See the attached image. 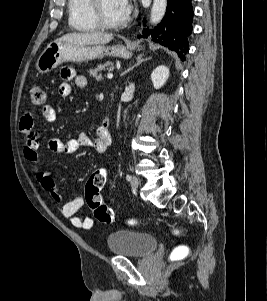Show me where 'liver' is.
I'll list each match as a JSON object with an SVG mask.
<instances>
[{
	"label": "liver",
	"mask_w": 267,
	"mask_h": 301,
	"mask_svg": "<svg viewBox=\"0 0 267 301\" xmlns=\"http://www.w3.org/2000/svg\"><path fill=\"white\" fill-rule=\"evenodd\" d=\"M113 39L112 34H106L101 32H90V33H68L57 39V42H67L74 44H106Z\"/></svg>",
	"instance_id": "1"
}]
</instances>
